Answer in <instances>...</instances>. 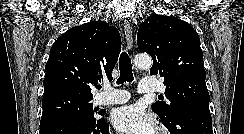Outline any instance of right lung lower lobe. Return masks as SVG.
Returning <instances> with one entry per match:
<instances>
[{"instance_id": "1", "label": "right lung lower lobe", "mask_w": 244, "mask_h": 134, "mask_svg": "<svg viewBox=\"0 0 244 134\" xmlns=\"http://www.w3.org/2000/svg\"><path fill=\"white\" fill-rule=\"evenodd\" d=\"M40 134H109V126L103 118L70 117L47 123L40 129Z\"/></svg>"}]
</instances>
